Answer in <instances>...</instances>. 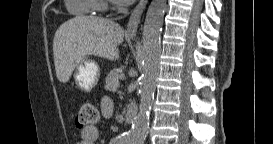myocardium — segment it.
<instances>
[{
    "instance_id": "obj_1",
    "label": "myocardium",
    "mask_w": 273,
    "mask_h": 144,
    "mask_svg": "<svg viewBox=\"0 0 273 144\" xmlns=\"http://www.w3.org/2000/svg\"><path fill=\"white\" fill-rule=\"evenodd\" d=\"M95 8L100 11H105L108 9V1L107 0H96Z\"/></svg>"
}]
</instances>
